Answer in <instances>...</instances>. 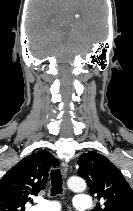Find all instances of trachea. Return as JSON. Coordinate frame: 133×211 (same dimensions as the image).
Segmentation results:
<instances>
[{
	"label": "trachea",
	"mask_w": 133,
	"mask_h": 211,
	"mask_svg": "<svg viewBox=\"0 0 133 211\" xmlns=\"http://www.w3.org/2000/svg\"><path fill=\"white\" fill-rule=\"evenodd\" d=\"M51 195L55 196L62 193V175L60 170H52L51 172Z\"/></svg>",
	"instance_id": "obj_1"
}]
</instances>
